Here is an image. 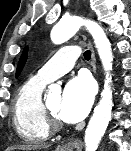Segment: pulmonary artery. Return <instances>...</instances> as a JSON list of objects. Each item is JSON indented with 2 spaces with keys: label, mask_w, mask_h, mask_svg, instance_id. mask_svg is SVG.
I'll return each instance as SVG.
<instances>
[{
  "label": "pulmonary artery",
  "mask_w": 131,
  "mask_h": 151,
  "mask_svg": "<svg viewBox=\"0 0 131 151\" xmlns=\"http://www.w3.org/2000/svg\"><path fill=\"white\" fill-rule=\"evenodd\" d=\"M79 55L80 50L75 45L62 47L38 70L36 77L47 83L53 81L70 71Z\"/></svg>",
  "instance_id": "obj_1"
}]
</instances>
